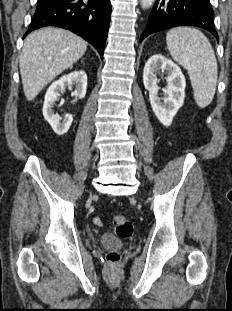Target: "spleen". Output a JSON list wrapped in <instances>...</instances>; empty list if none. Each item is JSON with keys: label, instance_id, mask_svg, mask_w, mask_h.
Returning <instances> with one entry per match:
<instances>
[{"label": "spleen", "instance_id": "spleen-1", "mask_svg": "<svg viewBox=\"0 0 232 311\" xmlns=\"http://www.w3.org/2000/svg\"><path fill=\"white\" fill-rule=\"evenodd\" d=\"M166 43L172 58L187 70L197 105L208 106L214 98L218 77L210 42L198 29L176 27L168 31Z\"/></svg>", "mask_w": 232, "mask_h": 311}]
</instances>
